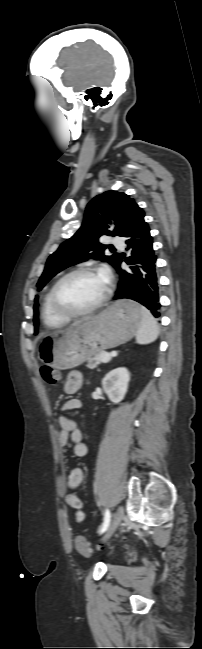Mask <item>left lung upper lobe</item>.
<instances>
[{
  "instance_id": "obj_1",
  "label": "left lung upper lobe",
  "mask_w": 202,
  "mask_h": 649,
  "mask_svg": "<svg viewBox=\"0 0 202 649\" xmlns=\"http://www.w3.org/2000/svg\"><path fill=\"white\" fill-rule=\"evenodd\" d=\"M143 216L144 211L134 199L123 192L107 191L93 198L86 207L80 229L48 258L44 272L37 283L38 290H41L58 272L89 258H101L114 265L119 254L105 256L104 250L107 247L99 242V238L102 235L123 236L131 224ZM38 306V296H36L34 334H37L39 329Z\"/></svg>"
}]
</instances>
